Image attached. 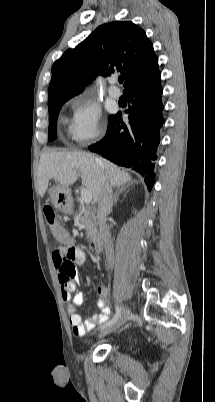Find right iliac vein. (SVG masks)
I'll return each mask as SVG.
<instances>
[{
    "instance_id": "right-iliac-vein-1",
    "label": "right iliac vein",
    "mask_w": 215,
    "mask_h": 402,
    "mask_svg": "<svg viewBox=\"0 0 215 402\" xmlns=\"http://www.w3.org/2000/svg\"><path fill=\"white\" fill-rule=\"evenodd\" d=\"M130 317V309L129 308H125L121 314V316L118 318V320L113 323L112 325L105 327L101 330L100 332V337H103L105 335H108L112 332H114L115 330H117L120 326H122Z\"/></svg>"
}]
</instances>
